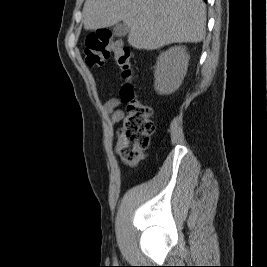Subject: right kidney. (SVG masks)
Instances as JSON below:
<instances>
[{"instance_id":"1","label":"right kidney","mask_w":267,"mask_h":267,"mask_svg":"<svg viewBox=\"0 0 267 267\" xmlns=\"http://www.w3.org/2000/svg\"><path fill=\"white\" fill-rule=\"evenodd\" d=\"M190 56L183 46H174L162 52L155 66L154 87L158 94H171L182 84Z\"/></svg>"}]
</instances>
